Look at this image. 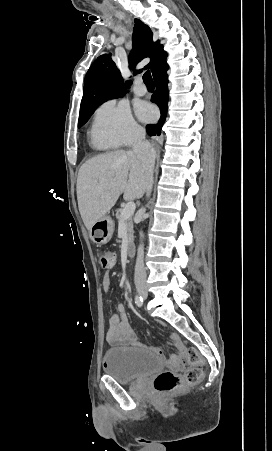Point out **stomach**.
Returning a JSON list of instances; mask_svg holds the SVG:
<instances>
[{"instance_id": "1", "label": "stomach", "mask_w": 272, "mask_h": 451, "mask_svg": "<svg viewBox=\"0 0 272 451\" xmlns=\"http://www.w3.org/2000/svg\"><path fill=\"white\" fill-rule=\"evenodd\" d=\"M113 231V220H111L110 216H103V218L94 222L93 226L90 227V239L94 243H97V245H103V243H107L111 239Z\"/></svg>"}]
</instances>
